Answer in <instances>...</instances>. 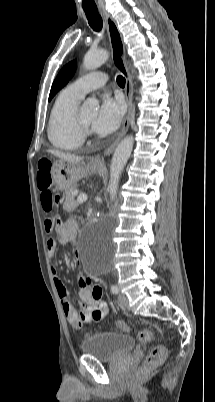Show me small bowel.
Here are the masks:
<instances>
[{"label":"small bowel","instance_id":"c3829d8e","mask_svg":"<svg viewBox=\"0 0 215 402\" xmlns=\"http://www.w3.org/2000/svg\"><path fill=\"white\" fill-rule=\"evenodd\" d=\"M55 228L58 240L62 244H67L74 237V227L72 222H67L65 224L57 223ZM46 246L49 256L53 258L57 253V241L55 239H48ZM52 269L54 273V283L64 314L75 330L81 329L84 324L99 322L107 315L109 312V306L102 299V290L98 285L93 284L90 278L81 276L79 279V296L83 302V306L78 312L72 305L68 292L61 278L57 274V267L53 266Z\"/></svg>","mask_w":215,"mask_h":402}]
</instances>
